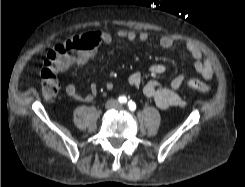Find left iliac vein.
Listing matches in <instances>:
<instances>
[{
    "label": "left iliac vein",
    "mask_w": 245,
    "mask_h": 187,
    "mask_svg": "<svg viewBox=\"0 0 245 187\" xmlns=\"http://www.w3.org/2000/svg\"><path fill=\"white\" fill-rule=\"evenodd\" d=\"M116 109H118V110H122V109H123V105H121V104H117Z\"/></svg>",
    "instance_id": "4c4485c4"
}]
</instances>
